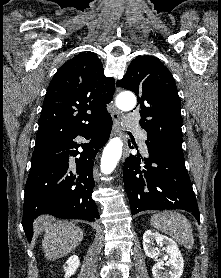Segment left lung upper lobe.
Instances as JSON below:
<instances>
[{
	"label": "left lung upper lobe",
	"mask_w": 221,
	"mask_h": 278,
	"mask_svg": "<svg viewBox=\"0 0 221 278\" xmlns=\"http://www.w3.org/2000/svg\"><path fill=\"white\" fill-rule=\"evenodd\" d=\"M117 86L137 95L140 125L147 141L182 142V116L176 83L170 71L152 56H138L129 65Z\"/></svg>",
	"instance_id": "obj_1"
}]
</instances>
